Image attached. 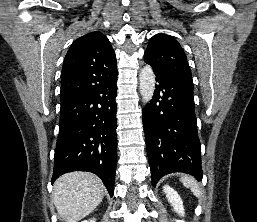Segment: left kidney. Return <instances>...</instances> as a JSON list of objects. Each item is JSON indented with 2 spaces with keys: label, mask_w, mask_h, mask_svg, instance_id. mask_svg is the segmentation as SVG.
<instances>
[{
  "label": "left kidney",
  "mask_w": 257,
  "mask_h": 222,
  "mask_svg": "<svg viewBox=\"0 0 257 222\" xmlns=\"http://www.w3.org/2000/svg\"><path fill=\"white\" fill-rule=\"evenodd\" d=\"M163 191L165 192L166 197L171 206L173 207L174 211L178 213L180 216H184L185 212L183 202L178 193L169 185H164Z\"/></svg>",
  "instance_id": "1"
}]
</instances>
